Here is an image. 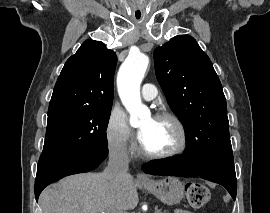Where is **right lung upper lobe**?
Here are the masks:
<instances>
[{"label":"right lung upper lobe","mask_w":270,"mask_h":213,"mask_svg":"<svg viewBox=\"0 0 270 213\" xmlns=\"http://www.w3.org/2000/svg\"><path fill=\"white\" fill-rule=\"evenodd\" d=\"M117 62L105 44L86 40L65 63L55 84L49 110L60 107L111 108Z\"/></svg>","instance_id":"1"}]
</instances>
